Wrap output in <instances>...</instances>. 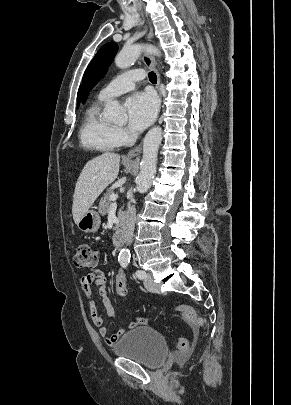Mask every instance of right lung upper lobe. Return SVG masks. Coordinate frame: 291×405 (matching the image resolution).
Returning <instances> with one entry per match:
<instances>
[{"label": "right lung upper lobe", "mask_w": 291, "mask_h": 405, "mask_svg": "<svg viewBox=\"0 0 291 405\" xmlns=\"http://www.w3.org/2000/svg\"><path fill=\"white\" fill-rule=\"evenodd\" d=\"M77 100H78V102H80V88H79V91H78Z\"/></svg>", "instance_id": "right-lung-upper-lobe-1"}]
</instances>
